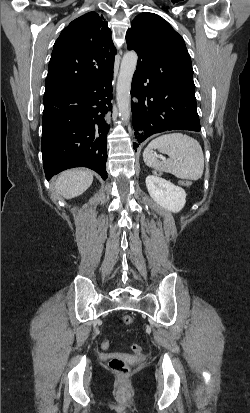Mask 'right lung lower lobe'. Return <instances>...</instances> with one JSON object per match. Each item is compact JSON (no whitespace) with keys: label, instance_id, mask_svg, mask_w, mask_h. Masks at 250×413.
I'll return each instance as SVG.
<instances>
[{"label":"right lung lower lobe","instance_id":"98d812e1","mask_svg":"<svg viewBox=\"0 0 250 413\" xmlns=\"http://www.w3.org/2000/svg\"><path fill=\"white\" fill-rule=\"evenodd\" d=\"M112 78L113 70L89 85L44 95L41 149L47 180L73 167L107 178Z\"/></svg>","mask_w":250,"mask_h":413}]
</instances>
